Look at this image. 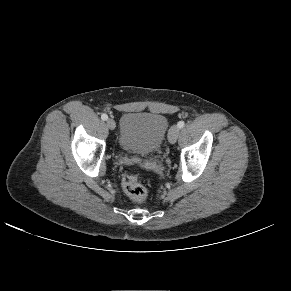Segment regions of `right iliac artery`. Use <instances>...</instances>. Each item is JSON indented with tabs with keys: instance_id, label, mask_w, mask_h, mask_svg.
Returning <instances> with one entry per match:
<instances>
[{
	"instance_id": "82829eb1",
	"label": "right iliac artery",
	"mask_w": 291,
	"mask_h": 291,
	"mask_svg": "<svg viewBox=\"0 0 291 291\" xmlns=\"http://www.w3.org/2000/svg\"><path fill=\"white\" fill-rule=\"evenodd\" d=\"M101 119L105 121V120L108 119V116H107L106 114H102V115H101Z\"/></svg>"
}]
</instances>
